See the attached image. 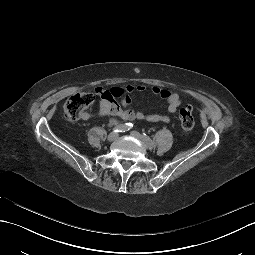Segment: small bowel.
I'll list each match as a JSON object with an SVG mask.
<instances>
[{"instance_id":"c3829d8e","label":"small bowel","mask_w":255,"mask_h":255,"mask_svg":"<svg viewBox=\"0 0 255 255\" xmlns=\"http://www.w3.org/2000/svg\"><path fill=\"white\" fill-rule=\"evenodd\" d=\"M124 94L121 96V105H119L115 99L107 95L106 90L100 87L95 88V93L99 95V110L95 114L85 112L82 114V119L88 120L93 117H109L113 124H117L120 121L129 120H144L148 122H163L169 123L171 121L169 116L159 114H146L142 111H137L132 108V101L128 97L127 93L137 91H144L145 87L139 86H126L122 88ZM152 93L165 100L170 113L177 112L179 106L182 104V98L179 93L173 92L166 88L154 86L151 89Z\"/></svg>"}]
</instances>
